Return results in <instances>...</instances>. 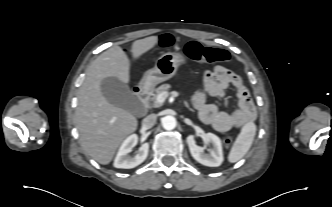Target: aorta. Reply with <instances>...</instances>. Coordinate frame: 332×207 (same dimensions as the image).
Instances as JSON below:
<instances>
[{
	"mask_svg": "<svg viewBox=\"0 0 332 207\" xmlns=\"http://www.w3.org/2000/svg\"><path fill=\"white\" fill-rule=\"evenodd\" d=\"M176 125L177 121L173 116L168 115L162 119V126L166 130H173L176 127Z\"/></svg>",
	"mask_w": 332,
	"mask_h": 207,
	"instance_id": "762f6f07",
	"label": "aorta"
}]
</instances>
